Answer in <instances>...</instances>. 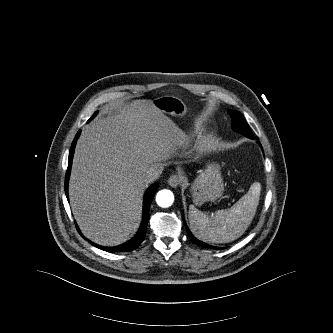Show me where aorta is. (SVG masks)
<instances>
[{"instance_id": "obj_1", "label": "aorta", "mask_w": 333, "mask_h": 333, "mask_svg": "<svg viewBox=\"0 0 333 333\" xmlns=\"http://www.w3.org/2000/svg\"><path fill=\"white\" fill-rule=\"evenodd\" d=\"M156 202L162 208L170 207L174 202V195L170 190H161L156 195Z\"/></svg>"}]
</instances>
